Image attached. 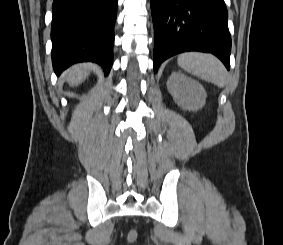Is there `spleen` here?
I'll return each mask as SVG.
<instances>
[{"instance_id":"spleen-1","label":"spleen","mask_w":283,"mask_h":245,"mask_svg":"<svg viewBox=\"0 0 283 245\" xmlns=\"http://www.w3.org/2000/svg\"><path fill=\"white\" fill-rule=\"evenodd\" d=\"M178 65L188 73L223 88L227 73L223 64L213 55L187 52L178 56Z\"/></svg>"}]
</instances>
